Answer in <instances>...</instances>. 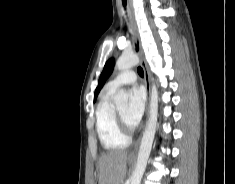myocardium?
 Wrapping results in <instances>:
<instances>
[{
	"mask_svg": "<svg viewBox=\"0 0 235 184\" xmlns=\"http://www.w3.org/2000/svg\"><path fill=\"white\" fill-rule=\"evenodd\" d=\"M116 118L121 132L124 136L131 138L135 133V129L127 124L118 112L116 113Z\"/></svg>",
	"mask_w": 235,
	"mask_h": 184,
	"instance_id": "1",
	"label": "myocardium"
}]
</instances>
